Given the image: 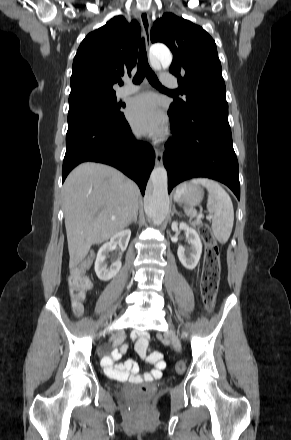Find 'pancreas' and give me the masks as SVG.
Returning <instances> with one entry per match:
<instances>
[{"mask_svg": "<svg viewBox=\"0 0 291 440\" xmlns=\"http://www.w3.org/2000/svg\"><path fill=\"white\" fill-rule=\"evenodd\" d=\"M191 225L193 227H196V226H202L203 223H202L201 219H196L195 221L191 222Z\"/></svg>", "mask_w": 291, "mask_h": 440, "instance_id": "1", "label": "pancreas"}]
</instances>
